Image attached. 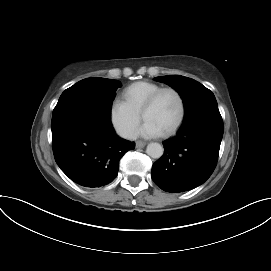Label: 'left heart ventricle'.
Returning <instances> with one entry per match:
<instances>
[{"label": "left heart ventricle", "mask_w": 271, "mask_h": 271, "mask_svg": "<svg viewBox=\"0 0 271 271\" xmlns=\"http://www.w3.org/2000/svg\"><path fill=\"white\" fill-rule=\"evenodd\" d=\"M179 115V102L172 92L163 93L156 104L144 116V120L154 123L163 133L176 122Z\"/></svg>", "instance_id": "b2bd125f"}]
</instances>
